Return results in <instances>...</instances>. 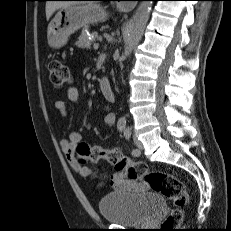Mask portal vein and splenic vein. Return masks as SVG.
<instances>
[{
  "mask_svg": "<svg viewBox=\"0 0 231 231\" xmlns=\"http://www.w3.org/2000/svg\"><path fill=\"white\" fill-rule=\"evenodd\" d=\"M93 47H94L95 50L98 49L99 48V43H94Z\"/></svg>",
  "mask_w": 231,
  "mask_h": 231,
  "instance_id": "18ae733b",
  "label": "portal vein and splenic vein"
}]
</instances>
